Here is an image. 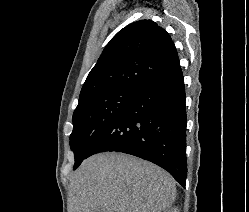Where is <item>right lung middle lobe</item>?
<instances>
[{
    "label": "right lung middle lobe",
    "instance_id": "dd1d6c3e",
    "mask_svg": "<svg viewBox=\"0 0 249 212\" xmlns=\"http://www.w3.org/2000/svg\"><path fill=\"white\" fill-rule=\"evenodd\" d=\"M137 94L134 91L109 92L78 104L70 135V147L75 155L74 170L88 157L92 145L103 131Z\"/></svg>",
    "mask_w": 249,
    "mask_h": 212
}]
</instances>
